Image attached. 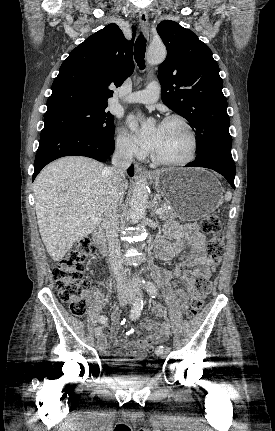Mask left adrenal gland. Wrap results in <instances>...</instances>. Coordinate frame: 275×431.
Listing matches in <instances>:
<instances>
[{
  "instance_id": "obj_1",
  "label": "left adrenal gland",
  "mask_w": 275,
  "mask_h": 431,
  "mask_svg": "<svg viewBox=\"0 0 275 431\" xmlns=\"http://www.w3.org/2000/svg\"><path fill=\"white\" fill-rule=\"evenodd\" d=\"M158 207H159V204L157 202V197L154 196L152 205H151V216H155L156 210L158 209Z\"/></svg>"
}]
</instances>
